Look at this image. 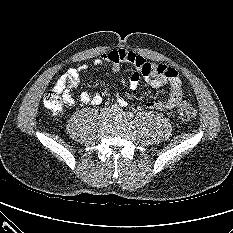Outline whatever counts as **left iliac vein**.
<instances>
[{"label":"left iliac vein","instance_id":"left-iliac-vein-1","mask_svg":"<svg viewBox=\"0 0 233 233\" xmlns=\"http://www.w3.org/2000/svg\"><path fill=\"white\" fill-rule=\"evenodd\" d=\"M113 115H114V117L120 118V119L124 118L126 116L125 112L122 111V110H119L118 112H115Z\"/></svg>","mask_w":233,"mask_h":233}]
</instances>
